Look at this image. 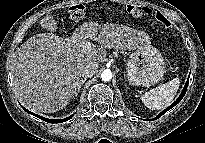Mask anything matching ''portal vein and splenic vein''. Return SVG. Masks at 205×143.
Returning <instances> with one entry per match:
<instances>
[{
	"label": "portal vein and splenic vein",
	"instance_id": "18ae733b",
	"mask_svg": "<svg viewBox=\"0 0 205 143\" xmlns=\"http://www.w3.org/2000/svg\"><path fill=\"white\" fill-rule=\"evenodd\" d=\"M93 44L91 42H82L81 46L83 48H90Z\"/></svg>",
	"mask_w": 205,
	"mask_h": 143
}]
</instances>
